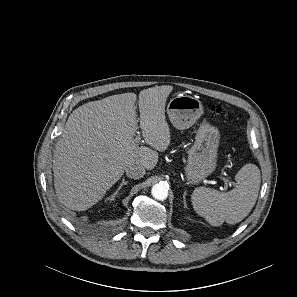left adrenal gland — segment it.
<instances>
[{"label":"left adrenal gland","instance_id":"obj_1","mask_svg":"<svg viewBox=\"0 0 297 297\" xmlns=\"http://www.w3.org/2000/svg\"><path fill=\"white\" fill-rule=\"evenodd\" d=\"M183 203H184V207L187 208V204H186V191L183 194Z\"/></svg>","mask_w":297,"mask_h":297}]
</instances>
